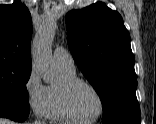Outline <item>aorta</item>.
<instances>
[{
	"label": "aorta",
	"instance_id": "762f6f07",
	"mask_svg": "<svg viewBox=\"0 0 156 124\" xmlns=\"http://www.w3.org/2000/svg\"><path fill=\"white\" fill-rule=\"evenodd\" d=\"M56 23L47 20L40 26L32 44V57L44 82L52 83L57 77L51 52V44L55 35Z\"/></svg>",
	"mask_w": 156,
	"mask_h": 124
}]
</instances>
